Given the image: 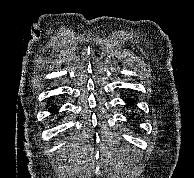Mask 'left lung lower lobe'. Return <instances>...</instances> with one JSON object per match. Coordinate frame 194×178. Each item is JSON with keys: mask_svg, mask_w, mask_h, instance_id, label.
<instances>
[{"mask_svg": "<svg viewBox=\"0 0 194 178\" xmlns=\"http://www.w3.org/2000/svg\"><path fill=\"white\" fill-rule=\"evenodd\" d=\"M134 99H132V98H128V99H126V103L130 106V107H132V106H134ZM129 119H134V114L133 115H131L130 117H129Z\"/></svg>", "mask_w": 194, "mask_h": 178, "instance_id": "0a47b994", "label": "left lung lower lobe"}]
</instances>
